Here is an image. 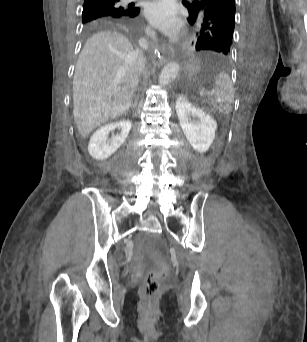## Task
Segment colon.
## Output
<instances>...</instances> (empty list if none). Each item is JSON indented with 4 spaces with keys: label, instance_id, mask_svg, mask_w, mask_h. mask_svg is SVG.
<instances>
[{
    "label": "colon",
    "instance_id": "1",
    "mask_svg": "<svg viewBox=\"0 0 307 342\" xmlns=\"http://www.w3.org/2000/svg\"><path fill=\"white\" fill-rule=\"evenodd\" d=\"M154 269H146V279L142 281L141 295L143 307H156L157 288H162V279L168 276L169 266L164 261H153Z\"/></svg>",
    "mask_w": 307,
    "mask_h": 342
}]
</instances>
